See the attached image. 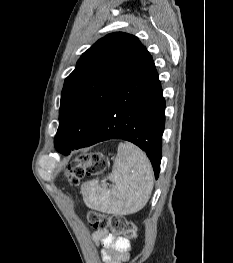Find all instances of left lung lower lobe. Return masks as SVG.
I'll return each mask as SVG.
<instances>
[{
  "label": "left lung lower lobe",
  "instance_id": "0a47b994",
  "mask_svg": "<svg viewBox=\"0 0 233 263\" xmlns=\"http://www.w3.org/2000/svg\"><path fill=\"white\" fill-rule=\"evenodd\" d=\"M164 111L161 84L152 57L147 52L106 106L88 138L82 143H69L55 138V148L69 155L73 149L104 140H127L145 151L158 178Z\"/></svg>",
  "mask_w": 233,
  "mask_h": 263
}]
</instances>
